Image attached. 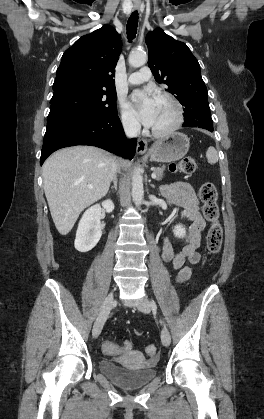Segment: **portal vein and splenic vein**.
<instances>
[{
  "instance_id": "1",
  "label": "portal vein and splenic vein",
  "mask_w": 264,
  "mask_h": 419,
  "mask_svg": "<svg viewBox=\"0 0 264 419\" xmlns=\"http://www.w3.org/2000/svg\"><path fill=\"white\" fill-rule=\"evenodd\" d=\"M151 176H152L153 179H155L157 175H156L155 172H153ZM89 188H92V186L90 185Z\"/></svg>"
}]
</instances>
